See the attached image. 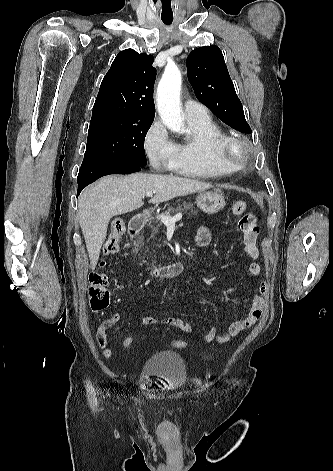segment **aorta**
<instances>
[{
	"mask_svg": "<svg viewBox=\"0 0 333 471\" xmlns=\"http://www.w3.org/2000/svg\"><path fill=\"white\" fill-rule=\"evenodd\" d=\"M182 76L177 66L168 65L157 88V106L163 124L175 133L185 132L180 108Z\"/></svg>",
	"mask_w": 333,
	"mask_h": 471,
	"instance_id": "1",
	"label": "aorta"
}]
</instances>
